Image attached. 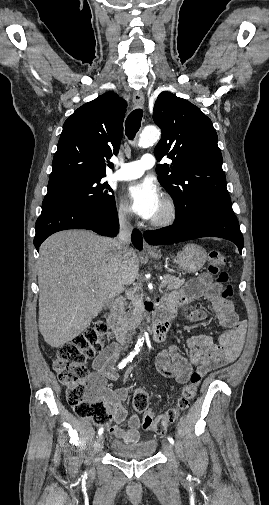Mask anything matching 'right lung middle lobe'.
<instances>
[{"label": "right lung middle lobe", "mask_w": 269, "mask_h": 505, "mask_svg": "<svg viewBox=\"0 0 269 505\" xmlns=\"http://www.w3.org/2000/svg\"><path fill=\"white\" fill-rule=\"evenodd\" d=\"M112 188L107 182L92 179L48 189L42 207L61 203H77L100 213H108L115 206Z\"/></svg>", "instance_id": "1"}]
</instances>
